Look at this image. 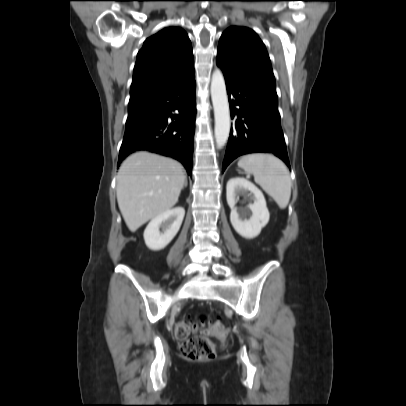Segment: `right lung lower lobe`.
I'll return each mask as SVG.
<instances>
[{"label":"right lung lower lobe","instance_id":"right-lung-lower-lobe-1","mask_svg":"<svg viewBox=\"0 0 406 406\" xmlns=\"http://www.w3.org/2000/svg\"><path fill=\"white\" fill-rule=\"evenodd\" d=\"M195 88L194 72L137 104L142 116L126 125L118 163L133 152L146 150L178 160L192 176Z\"/></svg>","mask_w":406,"mask_h":406}]
</instances>
